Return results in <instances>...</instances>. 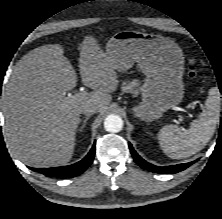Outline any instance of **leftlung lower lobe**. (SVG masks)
I'll list each match as a JSON object with an SVG mask.
<instances>
[{"label":"left lung lower lobe","instance_id":"0a47b994","mask_svg":"<svg viewBox=\"0 0 222 219\" xmlns=\"http://www.w3.org/2000/svg\"><path fill=\"white\" fill-rule=\"evenodd\" d=\"M129 148L131 151V154L135 160V162L141 166L142 168L154 172V173H165V174H170V173H177L182 170H185L188 168L190 165H192L195 161L189 162V163H184V164H179V165H172V166H165V167H158L155 165H152L145 161L143 158H141L137 152L133 149L132 145L129 144Z\"/></svg>","mask_w":222,"mask_h":219}]
</instances>
